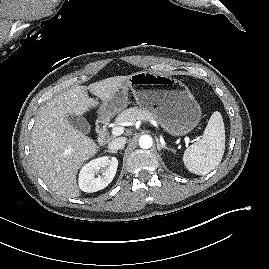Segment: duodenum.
I'll return each instance as SVG.
<instances>
[{"instance_id": "obj_1", "label": "duodenum", "mask_w": 269, "mask_h": 269, "mask_svg": "<svg viewBox=\"0 0 269 269\" xmlns=\"http://www.w3.org/2000/svg\"><path fill=\"white\" fill-rule=\"evenodd\" d=\"M96 131L98 134V141L101 145H105L108 141L107 135V122L104 119H100L96 125Z\"/></svg>"}]
</instances>
